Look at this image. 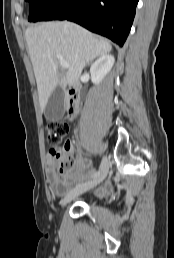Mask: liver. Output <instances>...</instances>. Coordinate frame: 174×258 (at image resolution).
Wrapping results in <instances>:
<instances>
[{
  "instance_id": "6515ba94",
  "label": "liver",
  "mask_w": 174,
  "mask_h": 258,
  "mask_svg": "<svg viewBox=\"0 0 174 258\" xmlns=\"http://www.w3.org/2000/svg\"><path fill=\"white\" fill-rule=\"evenodd\" d=\"M25 39L37 82L39 103L43 111L55 88L74 86L85 65L112 49L104 39L71 22H48L29 27ZM57 55L69 64L65 75L58 73Z\"/></svg>"
}]
</instances>
